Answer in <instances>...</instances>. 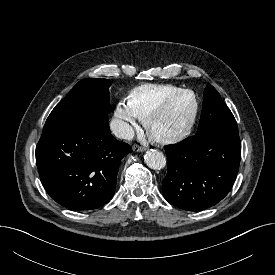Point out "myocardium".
I'll return each mask as SVG.
<instances>
[{
	"label": "myocardium",
	"instance_id": "1",
	"mask_svg": "<svg viewBox=\"0 0 275 275\" xmlns=\"http://www.w3.org/2000/svg\"><path fill=\"white\" fill-rule=\"evenodd\" d=\"M181 95H189V96H191V98L193 100L192 113H191L190 118L187 121L186 125L181 130H179L178 132H176L174 134H170V135H166V136H156V135L152 134V132L150 130V125H151L152 121L157 116L162 114L169 107V105L176 98H178ZM198 112H199V100H198V97L195 94V92L191 89L180 88V89L176 90L175 92L169 94L161 102H159L145 116L143 123H144L145 129L147 130L148 134L154 141H156L158 143H162V144H173V143H177V142L183 140L184 138H186L189 135V133L192 131V129L196 123V120L198 117Z\"/></svg>",
	"mask_w": 275,
	"mask_h": 275
}]
</instances>
